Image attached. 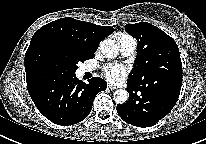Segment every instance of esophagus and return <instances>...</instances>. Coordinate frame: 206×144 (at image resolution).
I'll list each match as a JSON object with an SVG mask.
<instances>
[{"instance_id":"34e87169","label":"esophagus","mask_w":206,"mask_h":144,"mask_svg":"<svg viewBox=\"0 0 206 144\" xmlns=\"http://www.w3.org/2000/svg\"><path fill=\"white\" fill-rule=\"evenodd\" d=\"M108 88L111 89V90L117 89V87H115V86H113V85H111V84H108Z\"/></svg>"}]
</instances>
